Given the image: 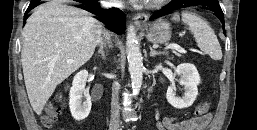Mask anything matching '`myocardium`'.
<instances>
[{
	"label": "myocardium",
	"mask_w": 257,
	"mask_h": 130,
	"mask_svg": "<svg viewBox=\"0 0 257 130\" xmlns=\"http://www.w3.org/2000/svg\"><path fill=\"white\" fill-rule=\"evenodd\" d=\"M167 0H149L147 1L149 7H158L164 4Z\"/></svg>",
	"instance_id": "obj_1"
}]
</instances>
